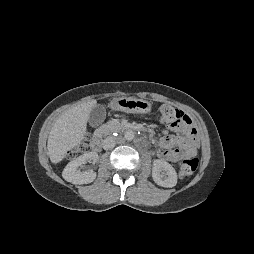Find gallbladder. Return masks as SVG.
I'll return each instance as SVG.
<instances>
[{"label":"gallbladder","instance_id":"gallbladder-1","mask_svg":"<svg viewBox=\"0 0 254 254\" xmlns=\"http://www.w3.org/2000/svg\"><path fill=\"white\" fill-rule=\"evenodd\" d=\"M105 117V107L103 105H95L88 116V123L91 127H97L103 123Z\"/></svg>","mask_w":254,"mask_h":254}]
</instances>
